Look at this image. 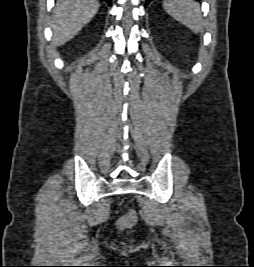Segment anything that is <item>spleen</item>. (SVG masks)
Masks as SVG:
<instances>
[{
    "label": "spleen",
    "mask_w": 254,
    "mask_h": 267,
    "mask_svg": "<svg viewBox=\"0 0 254 267\" xmlns=\"http://www.w3.org/2000/svg\"><path fill=\"white\" fill-rule=\"evenodd\" d=\"M163 8L169 15L193 32L203 31L200 6L194 0H164Z\"/></svg>",
    "instance_id": "obj_1"
}]
</instances>
